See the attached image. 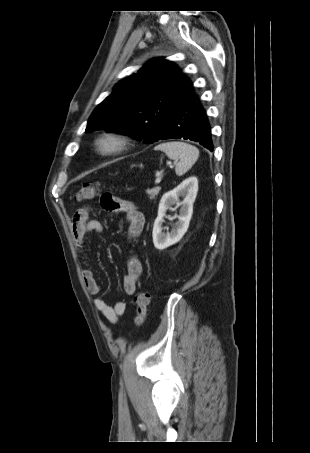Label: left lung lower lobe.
<instances>
[{
    "label": "left lung lower lobe",
    "instance_id": "0a47b994",
    "mask_svg": "<svg viewBox=\"0 0 310 453\" xmlns=\"http://www.w3.org/2000/svg\"><path fill=\"white\" fill-rule=\"evenodd\" d=\"M189 139L213 151L210 123L189 80L160 140Z\"/></svg>",
    "mask_w": 310,
    "mask_h": 453
}]
</instances>
